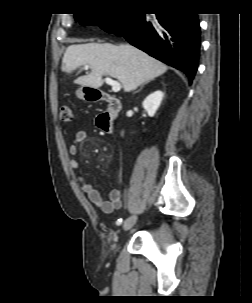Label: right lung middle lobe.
<instances>
[{
    "instance_id": "right-lung-middle-lobe-1",
    "label": "right lung middle lobe",
    "mask_w": 252,
    "mask_h": 303,
    "mask_svg": "<svg viewBox=\"0 0 252 303\" xmlns=\"http://www.w3.org/2000/svg\"><path fill=\"white\" fill-rule=\"evenodd\" d=\"M128 14L122 13H82L75 14L76 21H79L82 25H98L104 28L109 25H113L121 20Z\"/></svg>"
}]
</instances>
